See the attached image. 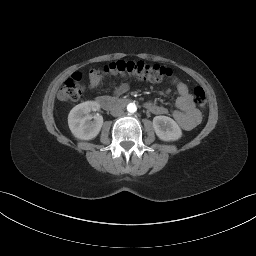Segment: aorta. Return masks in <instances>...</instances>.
<instances>
[{
  "instance_id": "aorta-1",
  "label": "aorta",
  "mask_w": 256,
  "mask_h": 256,
  "mask_svg": "<svg viewBox=\"0 0 256 256\" xmlns=\"http://www.w3.org/2000/svg\"><path fill=\"white\" fill-rule=\"evenodd\" d=\"M127 111H128L129 113H135V112L137 111V106H136V104H135V103H129V104L127 105Z\"/></svg>"
}]
</instances>
